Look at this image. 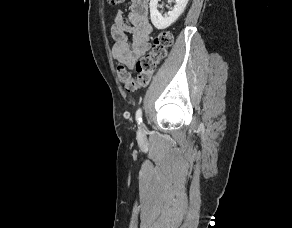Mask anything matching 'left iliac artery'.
Masks as SVG:
<instances>
[{
	"label": "left iliac artery",
	"mask_w": 292,
	"mask_h": 228,
	"mask_svg": "<svg viewBox=\"0 0 292 228\" xmlns=\"http://www.w3.org/2000/svg\"><path fill=\"white\" fill-rule=\"evenodd\" d=\"M136 121H137L138 125H140L142 123V109L141 108H139L136 111Z\"/></svg>",
	"instance_id": "left-iliac-artery-1"
}]
</instances>
